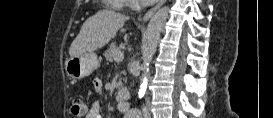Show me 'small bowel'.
I'll return each mask as SVG.
<instances>
[{
	"mask_svg": "<svg viewBox=\"0 0 273 118\" xmlns=\"http://www.w3.org/2000/svg\"><path fill=\"white\" fill-rule=\"evenodd\" d=\"M93 87L97 93H100L102 90L101 81L98 79L94 80ZM100 117H101L100 104L97 101H95L90 106L87 112L86 118H100Z\"/></svg>",
	"mask_w": 273,
	"mask_h": 118,
	"instance_id": "small-bowel-1",
	"label": "small bowel"
}]
</instances>
